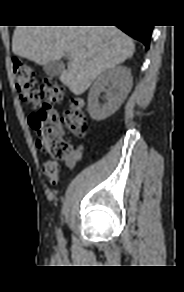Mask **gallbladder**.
Returning a JSON list of instances; mask_svg holds the SVG:
<instances>
[{"instance_id": "bac80fb5", "label": "gallbladder", "mask_w": 184, "mask_h": 292, "mask_svg": "<svg viewBox=\"0 0 184 292\" xmlns=\"http://www.w3.org/2000/svg\"><path fill=\"white\" fill-rule=\"evenodd\" d=\"M43 70L49 76H58L64 70V65L60 61L53 60L43 65Z\"/></svg>"}]
</instances>
